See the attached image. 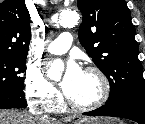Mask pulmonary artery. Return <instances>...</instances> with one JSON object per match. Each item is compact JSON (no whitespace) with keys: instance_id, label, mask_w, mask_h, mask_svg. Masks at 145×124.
Listing matches in <instances>:
<instances>
[{"instance_id":"1","label":"pulmonary artery","mask_w":145,"mask_h":124,"mask_svg":"<svg viewBox=\"0 0 145 124\" xmlns=\"http://www.w3.org/2000/svg\"><path fill=\"white\" fill-rule=\"evenodd\" d=\"M73 38L70 33H62L55 41L47 47L48 51L54 55L66 53L71 47Z\"/></svg>"}]
</instances>
